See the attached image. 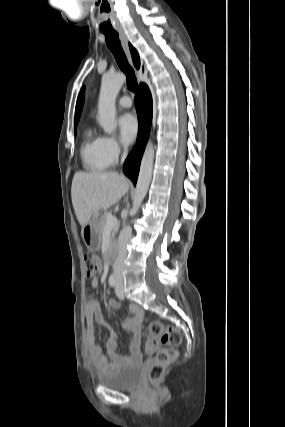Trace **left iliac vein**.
<instances>
[{"mask_svg": "<svg viewBox=\"0 0 285 427\" xmlns=\"http://www.w3.org/2000/svg\"><path fill=\"white\" fill-rule=\"evenodd\" d=\"M115 293L119 298L123 299V297H124V282H123V279L121 276H119L117 278Z\"/></svg>", "mask_w": 285, "mask_h": 427, "instance_id": "4c4485c4", "label": "left iliac vein"}]
</instances>
